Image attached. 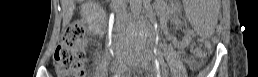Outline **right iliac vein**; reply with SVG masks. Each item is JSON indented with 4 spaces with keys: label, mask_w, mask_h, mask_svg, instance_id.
<instances>
[{
    "label": "right iliac vein",
    "mask_w": 258,
    "mask_h": 77,
    "mask_svg": "<svg viewBox=\"0 0 258 77\" xmlns=\"http://www.w3.org/2000/svg\"><path fill=\"white\" fill-rule=\"evenodd\" d=\"M123 60L122 54H116L115 65L118 66V70H121V62Z\"/></svg>",
    "instance_id": "63e3f726"
}]
</instances>
